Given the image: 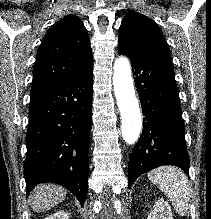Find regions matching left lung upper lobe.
<instances>
[{"label":"left lung upper lobe","mask_w":211,"mask_h":219,"mask_svg":"<svg viewBox=\"0 0 211 219\" xmlns=\"http://www.w3.org/2000/svg\"><path fill=\"white\" fill-rule=\"evenodd\" d=\"M118 47L132 54L171 59L169 46L156 23L133 11L121 22Z\"/></svg>","instance_id":"obj_1"}]
</instances>
